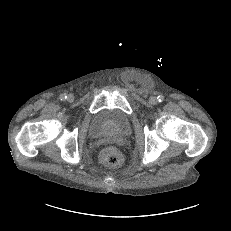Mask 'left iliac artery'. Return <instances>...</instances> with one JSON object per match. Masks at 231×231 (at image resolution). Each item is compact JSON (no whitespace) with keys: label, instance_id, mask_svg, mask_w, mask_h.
<instances>
[{"label":"left iliac artery","instance_id":"obj_1","mask_svg":"<svg viewBox=\"0 0 231 231\" xmlns=\"http://www.w3.org/2000/svg\"><path fill=\"white\" fill-rule=\"evenodd\" d=\"M157 99H158L159 102H163V101H164V96L159 95V96L157 97Z\"/></svg>","mask_w":231,"mask_h":231}]
</instances>
